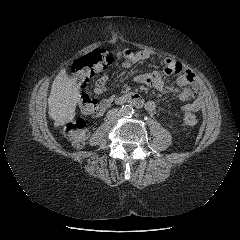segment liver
<instances>
[{"label": "liver", "instance_id": "6515ba94", "mask_svg": "<svg viewBox=\"0 0 240 240\" xmlns=\"http://www.w3.org/2000/svg\"><path fill=\"white\" fill-rule=\"evenodd\" d=\"M79 100L80 93L76 82L67 76L65 69H62L52 83L48 98V114L55 121V127L74 119Z\"/></svg>", "mask_w": 240, "mask_h": 240}]
</instances>
